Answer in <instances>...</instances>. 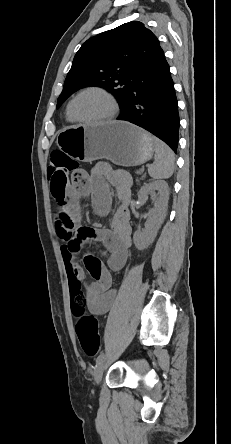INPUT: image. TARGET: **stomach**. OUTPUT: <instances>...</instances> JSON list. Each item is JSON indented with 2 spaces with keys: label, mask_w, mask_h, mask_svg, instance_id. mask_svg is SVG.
Returning <instances> with one entry per match:
<instances>
[{
  "label": "stomach",
  "mask_w": 231,
  "mask_h": 444,
  "mask_svg": "<svg viewBox=\"0 0 231 444\" xmlns=\"http://www.w3.org/2000/svg\"><path fill=\"white\" fill-rule=\"evenodd\" d=\"M56 143L76 160L107 159L124 167L147 162L155 151L147 132L124 121L69 126L59 131Z\"/></svg>",
  "instance_id": "stomach-1"
}]
</instances>
